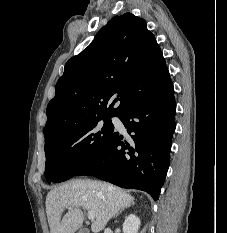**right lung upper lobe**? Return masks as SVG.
Instances as JSON below:
<instances>
[{"instance_id": "1", "label": "right lung upper lobe", "mask_w": 227, "mask_h": 233, "mask_svg": "<svg viewBox=\"0 0 227 233\" xmlns=\"http://www.w3.org/2000/svg\"><path fill=\"white\" fill-rule=\"evenodd\" d=\"M169 80L165 59L145 20L131 13L113 17L65 64L47 106L45 144L86 122L121 115Z\"/></svg>"}]
</instances>
